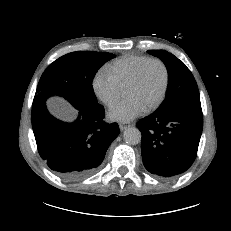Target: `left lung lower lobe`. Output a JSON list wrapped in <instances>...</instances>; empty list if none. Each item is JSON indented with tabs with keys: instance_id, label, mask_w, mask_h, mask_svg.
<instances>
[{
	"instance_id": "left-lung-lower-lobe-1",
	"label": "left lung lower lobe",
	"mask_w": 231,
	"mask_h": 231,
	"mask_svg": "<svg viewBox=\"0 0 231 231\" xmlns=\"http://www.w3.org/2000/svg\"><path fill=\"white\" fill-rule=\"evenodd\" d=\"M141 154L145 168L162 178L185 172L197 156L203 129L200 103H186L168 112L141 119Z\"/></svg>"
}]
</instances>
